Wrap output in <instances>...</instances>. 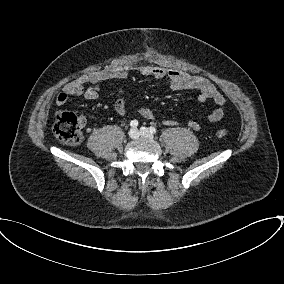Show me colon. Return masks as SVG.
Instances as JSON below:
<instances>
[{"label": "colon", "instance_id": "5ec220e1", "mask_svg": "<svg viewBox=\"0 0 284 284\" xmlns=\"http://www.w3.org/2000/svg\"><path fill=\"white\" fill-rule=\"evenodd\" d=\"M82 119L71 112L62 111L57 113L52 126L54 135L63 143L77 145L82 141ZM217 136L222 138L227 135L225 129H218Z\"/></svg>", "mask_w": 284, "mask_h": 284}]
</instances>
